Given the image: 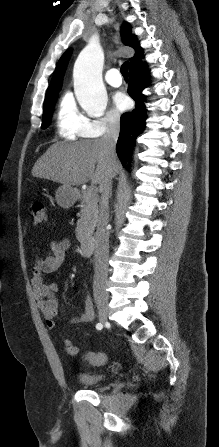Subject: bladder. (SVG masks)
Masks as SVG:
<instances>
[{"instance_id":"bladder-1","label":"bladder","mask_w":219,"mask_h":447,"mask_svg":"<svg viewBox=\"0 0 219 447\" xmlns=\"http://www.w3.org/2000/svg\"><path fill=\"white\" fill-rule=\"evenodd\" d=\"M76 379L84 387H93L105 381L107 375L103 373L78 372Z\"/></svg>"}]
</instances>
